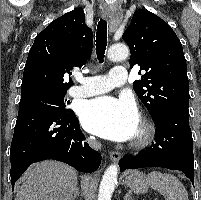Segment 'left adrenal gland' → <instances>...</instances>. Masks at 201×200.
<instances>
[{
  "instance_id": "left-adrenal-gland-1",
  "label": "left adrenal gland",
  "mask_w": 201,
  "mask_h": 200,
  "mask_svg": "<svg viewBox=\"0 0 201 200\" xmlns=\"http://www.w3.org/2000/svg\"><path fill=\"white\" fill-rule=\"evenodd\" d=\"M124 200H135L134 197L132 196L131 190H128V192L124 196Z\"/></svg>"
}]
</instances>
